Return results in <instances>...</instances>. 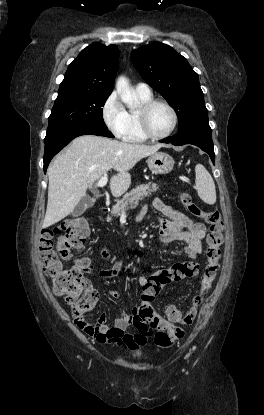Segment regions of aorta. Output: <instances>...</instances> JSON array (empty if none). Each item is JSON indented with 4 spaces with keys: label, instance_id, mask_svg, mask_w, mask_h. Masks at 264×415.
<instances>
[{
    "label": "aorta",
    "instance_id": "762f6f07",
    "mask_svg": "<svg viewBox=\"0 0 264 415\" xmlns=\"http://www.w3.org/2000/svg\"><path fill=\"white\" fill-rule=\"evenodd\" d=\"M116 90L122 102H124L129 108H134L138 105V97L136 93L131 89L126 77L120 76L117 79Z\"/></svg>",
    "mask_w": 264,
    "mask_h": 415
}]
</instances>
